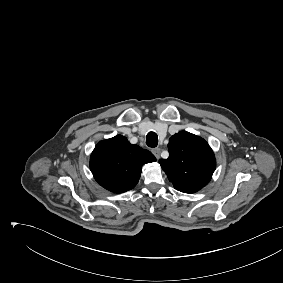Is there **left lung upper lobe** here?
I'll return each mask as SVG.
<instances>
[{
	"mask_svg": "<svg viewBox=\"0 0 283 283\" xmlns=\"http://www.w3.org/2000/svg\"><path fill=\"white\" fill-rule=\"evenodd\" d=\"M168 150L169 157L159 163L176 190L195 193L209 183L216 160L203 138L181 131L170 138Z\"/></svg>",
	"mask_w": 283,
	"mask_h": 283,
	"instance_id": "obj_1",
	"label": "left lung upper lobe"
}]
</instances>
